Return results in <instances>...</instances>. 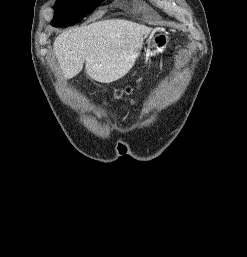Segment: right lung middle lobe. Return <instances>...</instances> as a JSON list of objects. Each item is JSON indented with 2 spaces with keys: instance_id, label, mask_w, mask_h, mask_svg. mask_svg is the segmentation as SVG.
<instances>
[{
  "instance_id": "dd1d6c3e",
  "label": "right lung middle lobe",
  "mask_w": 247,
  "mask_h": 257,
  "mask_svg": "<svg viewBox=\"0 0 247 257\" xmlns=\"http://www.w3.org/2000/svg\"><path fill=\"white\" fill-rule=\"evenodd\" d=\"M102 1L104 0H56L51 24L55 27H68L77 23Z\"/></svg>"
}]
</instances>
